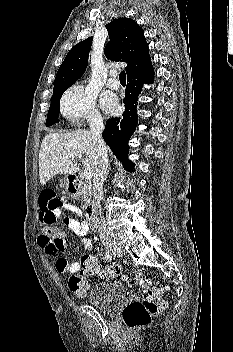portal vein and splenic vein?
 <instances>
[{"label":"portal vein and splenic vein","instance_id":"1","mask_svg":"<svg viewBox=\"0 0 233 352\" xmlns=\"http://www.w3.org/2000/svg\"><path fill=\"white\" fill-rule=\"evenodd\" d=\"M83 175H84L85 179H87V180H90L92 178V174L88 171H85L83 173Z\"/></svg>","mask_w":233,"mask_h":352}]
</instances>
